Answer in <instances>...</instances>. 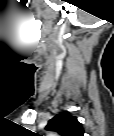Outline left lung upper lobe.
I'll return each mask as SVG.
<instances>
[{"label":"left lung upper lobe","instance_id":"5c2ea615","mask_svg":"<svg viewBox=\"0 0 114 136\" xmlns=\"http://www.w3.org/2000/svg\"><path fill=\"white\" fill-rule=\"evenodd\" d=\"M46 130H54L61 136H83L84 133L77 118L67 113L58 114L49 120Z\"/></svg>","mask_w":114,"mask_h":136}]
</instances>
